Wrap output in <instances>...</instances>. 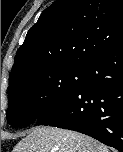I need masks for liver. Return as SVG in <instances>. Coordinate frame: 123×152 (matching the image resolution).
<instances>
[{
  "instance_id": "liver-1",
  "label": "liver",
  "mask_w": 123,
  "mask_h": 152,
  "mask_svg": "<svg viewBox=\"0 0 123 152\" xmlns=\"http://www.w3.org/2000/svg\"><path fill=\"white\" fill-rule=\"evenodd\" d=\"M13 152H109V149L87 135L44 126L31 130Z\"/></svg>"
}]
</instances>
